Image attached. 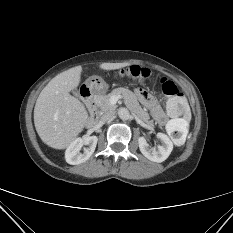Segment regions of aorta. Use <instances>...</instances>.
<instances>
[{
    "mask_svg": "<svg viewBox=\"0 0 233 233\" xmlns=\"http://www.w3.org/2000/svg\"><path fill=\"white\" fill-rule=\"evenodd\" d=\"M118 115L122 120H128L130 117V113H129L128 109H126V108H120L118 110Z\"/></svg>",
    "mask_w": 233,
    "mask_h": 233,
    "instance_id": "aorta-1",
    "label": "aorta"
}]
</instances>
